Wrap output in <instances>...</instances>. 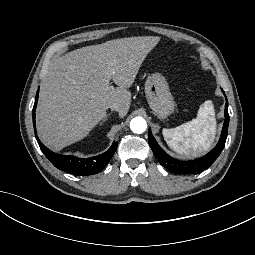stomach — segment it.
I'll return each mask as SVG.
<instances>
[{
  "label": "stomach",
  "mask_w": 255,
  "mask_h": 255,
  "mask_svg": "<svg viewBox=\"0 0 255 255\" xmlns=\"http://www.w3.org/2000/svg\"><path fill=\"white\" fill-rule=\"evenodd\" d=\"M145 94L150 108L158 118L165 119L174 111V98L161 73H153L147 77Z\"/></svg>",
  "instance_id": "0dacf381"
}]
</instances>
